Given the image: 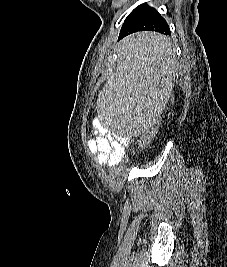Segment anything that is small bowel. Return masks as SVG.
Returning a JSON list of instances; mask_svg holds the SVG:
<instances>
[{
    "instance_id": "small-bowel-1",
    "label": "small bowel",
    "mask_w": 227,
    "mask_h": 267,
    "mask_svg": "<svg viewBox=\"0 0 227 267\" xmlns=\"http://www.w3.org/2000/svg\"><path fill=\"white\" fill-rule=\"evenodd\" d=\"M97 137L88 141V149L97 155V161L110 166L121 161L125 148L131 144L130 137H119L105 131L101 125L96 129Z\"/></svg>"
}]
</instances>
